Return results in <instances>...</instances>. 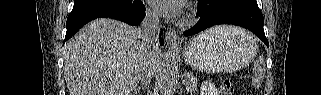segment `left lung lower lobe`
I'll return each instance as SVG.
<instances>
[{
    "mask_svg": "<svg viewBox=\"0 0 321 95\" xmlns=\"http://www.w3.org/2000/svg\"><path fill=\"white\" fill-rule=\"evenodd\" d=\"M197 14L199 21L185 31L184 36L194 35L214 25L233 24L249 29L269 46L256 0H199Z\"/></svg>",
    "mask_w": 321,
    "mask_h": 95,
    "instance_id": "obj_1",
    "label": "left lung lower lobe"
}]
</instances>
